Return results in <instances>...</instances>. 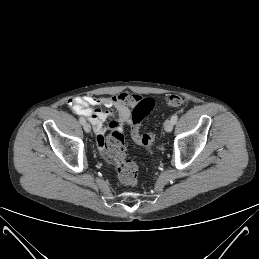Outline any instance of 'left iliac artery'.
I'll use <instances>...</instances> for the list:
<instances>
[{"mask_svg":"<svg viewBox=\"0 0 259 259\" xmlns=\"http://www.w3.org/2000/svg\"><path fill=\"white\" fill-rule=\"evenodd\" d=\"M178 120V116L177 114H174L172 117H171V121L175 124Z\"/></svg>","mask_w":259,"mask_h":259,"instance_id":"1","label":"left iliac artery"}]
</instances>
